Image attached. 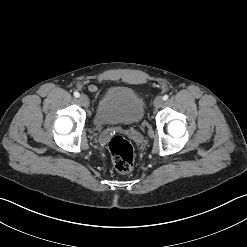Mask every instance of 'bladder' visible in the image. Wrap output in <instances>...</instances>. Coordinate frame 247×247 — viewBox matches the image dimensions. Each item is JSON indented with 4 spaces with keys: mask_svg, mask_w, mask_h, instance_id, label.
Masks as SVG:
<instances>
[{
    "mask_svg": "<svg viewBox=\"0 0 247 247\" xmlns=\"http://www.w3.org/2000/svg\"><path fill=\"white\" fill-rule=\"evenodd\" d=\"M145 113V104L136 92L125 86H112L99 101L94 117L96 126L139 123Z\"/></svg>",
    "mask_w": 247,
    "mask_h": 247,
    "instance_id": "31cf9c89",
    "label": "bladder"
}]
</instances>
